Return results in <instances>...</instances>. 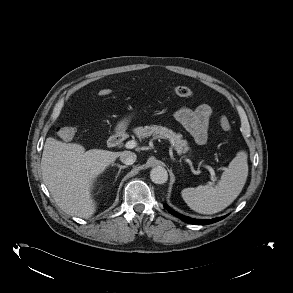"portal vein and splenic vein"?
Here are the masks:
<instances>
[{
  "instance_id": "obj_1",
  "label": "portal vein and splenic vein",
  "mask_w": 293,
  "mask_h": 293,
  "mask_svg": "<svg viewBox=\"0 0 293 293\" xmlns=\"http://www.w3.org/2000/svg\"><path fill=\"white\" fill-rule=\"evenodd\" d=\"M137 145H138L137 141H135V140H131V141H128V142L125 144V147H126L127 149H132V148H135ZM207 169H208L209 172H210V175H211V181H212V182H209V183L212 185L215 181H217V178H216V176H215V172H214V170H213L212 167L207 166Z\"/></svg>"
}]
</instances>
